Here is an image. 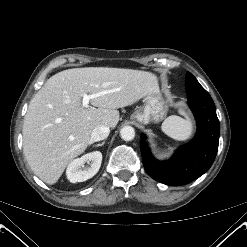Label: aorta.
Segmentation results:
<instances>
[{
	"label": "aorta",
	"mask_w": 247,
	"mask_h": 247,
	"mask_svg": "<svg viewBox=\"0 0 247 247\" xmlns=\"http://www.w3.org/2000/svg\"><path fill=\"white\" fill-rule=\"evenodd\" d=\"M120 136L124 141H131L135 137V130L131 126H124L120 130Z\"/></svg>",
	"instance_id": "aorta-1"
}]
</instances>
